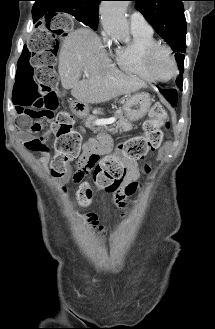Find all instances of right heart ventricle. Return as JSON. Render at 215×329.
<instances>
[{
  "label": "right heart ventricle",
  "mask_w": 215,
  "mask_h": 329,
  "mask_svg": "<svg viewBox=\"0 0 215 329\" xmlns=\"http://www.w3.org/2000/svg\"><path fill=\"white\" fill-rule=\"evenodd\" d=\"M132 35L130 43L115 50V61L123 71L151 82L153 80L143 66V54L149 46L156 43V40L153 33L132 32Z\"/></svg>",
  "instance_id": "1"
}]
</instances>
